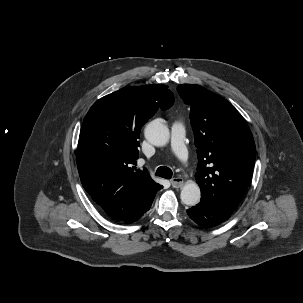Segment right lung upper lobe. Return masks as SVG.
I'll return each instance as SVG.
<instances>
[{
  "mask_svg": "<svg viewBox=\"0 0 303 303\" xmlns=\"http://www.w3.org/2000/svg\"><path fill=\"white\" fill-rule=\"evenodd\" d=\"M174 102L165 85L132 86L97 100L80 132L77 166L84 189L114 220L137 213L162 186L135 170L140 129Z\"/></svg>",
  "mask_w": 303,
  "mask_h": 303,
  "instance_id": "obj_1",
  "label": "right lung upper lobe"
}]
</instances>
